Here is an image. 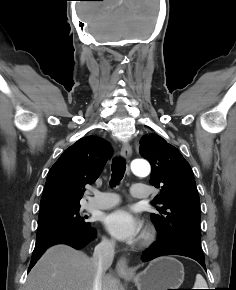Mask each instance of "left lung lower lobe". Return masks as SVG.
I'll return each instance as SVG.
<instances>
[{
  "label": "left lung lower lobe",
  "mask_w": 236,
  "mask_h": 290,
  "mask_svg": "<svg viewBox=\"0 0 236 290\" xmlns=\"http://www.w3.org/2000/svg\"><path fill=\"white\" fill-rule=\"evenodd\" d=\"M172 254L190 257L199 262L206 270L205 258L200 246L185 239H180L171 244L164 241L162 234L160 235V240L143 253L142 258L143 262H146L159 256Z\"/></svg>",
  "instance_id": "0a47b994"
}]
</instances>
